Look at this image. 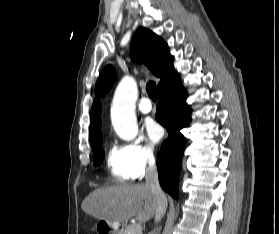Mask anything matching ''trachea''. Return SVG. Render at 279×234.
Listing matches in <instances>:
<instances>
[{
  "instance_id": "3493384b",
  "label": "trachea",
  "mask_w": 279,
  "mask_h": 234,
  "mask_svg": "<svg viewBox=\"0 0 279 234\" xmlns=\"http://www.w3.org/2000/svg\"><path fill=\"white\" fill-rule=\"evenodd\" d=\"M146 90L149 95V97L153 100L156 101L157 95H156V84L153 81H149L146 85Z\"/></svg>"
}]
</instances>
